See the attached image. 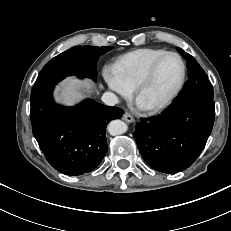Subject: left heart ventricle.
Here are the masks:
<instances>
[{
    "label": "left heart ventricle",
    "mask_w": 231,
    "mask_h": 231,
    "mask_svg": "<svg viewBox=\"0 0 231 231\" xmlns=\"http://www.w3.org/2000/svg\"><path fill=\"white\" fill-rule=\"evenodd\" d=\"M180 76L181 63L179 59L175 56L165 58L138 101L144 106L161 101L176 87Z\"/></svg>",
    "instance_id": "1"
}]
</instances>
